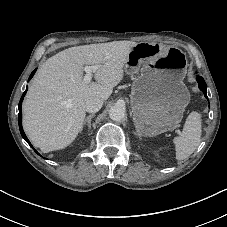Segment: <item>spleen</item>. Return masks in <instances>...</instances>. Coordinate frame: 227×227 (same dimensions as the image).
<instances>
[{
    "label": "spleen",
    "instance_id": "spleen-1",
    "mask_svg": "<svg viewBox=\"0 0 227 227\" xmlns=\"http://www.w3.org/2000/svg\"><path fill=\"white\" fill-rule=\"evenodd\" d=\"M201 123L198 112H191L187 117L182 134L173 139L177 160L188 158L198 147L202 132Z\"/></svg>",
    "mask_w": 227,
    "mask_h": 227
}]
</instances>
